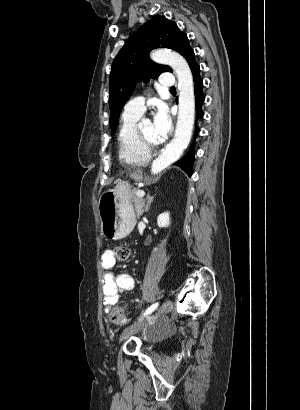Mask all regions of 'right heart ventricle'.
I'll return each instance as SVG.
<instances>
[{
    "mask_svg": "<svg viewBox=\"0 0 300 410\" xmlns=\"http://www.w3.org/2000/svg\"><path fill=\"white\" fill-rule=\"evenodd\" d=\"M139 113L125 111L121 117L117 134L118 153L121 162L130 165H144L150 160V151L139 143L137 124Z\"/></svg>",
    "mask_w": 300,
    "mask_h": 410,
    "instance_id": "obj_1",
    "label": "right heart ventricle"
}]
</instances>
